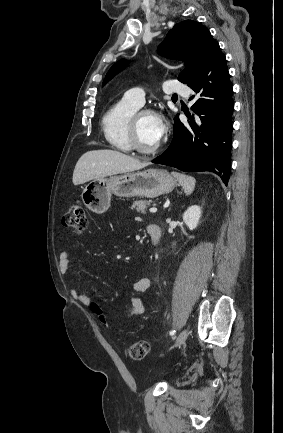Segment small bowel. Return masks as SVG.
<instances>
[{"mask_svg": "<svg viewBox=\"0 0 283 433\" xmlns=\"http://www.w3.org/2000/svg\"><path fill=\"white\" fill-rule=\"evenodd\" d=\"M58 259H59L60 271L63 274H66L69 269V261H70L69 251L66 249H62L58 254ZM150 286H151V280L147 277L138 279L132 285L133 296L130 301L132 315L138 316L144 313L145 307L142 299L138 296V294L147 291L150 288ZM71 295L76 302L82 305L90 304V298L85 293L81 292L76 288H72Z\"/></svg>", "mask_w": 283, "mask_h": 433, "instance_id": "c3829d8e", "label": "small bowel"}]
</instances>
